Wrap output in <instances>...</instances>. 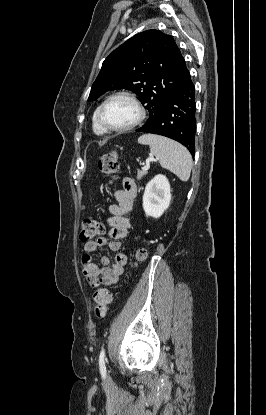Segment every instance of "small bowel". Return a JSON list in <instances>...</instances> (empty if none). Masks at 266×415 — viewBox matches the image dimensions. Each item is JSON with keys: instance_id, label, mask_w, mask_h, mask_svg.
Here are the masks:
<instances>
[{"instance_id": "obj_1", "label": "small bowel", "mask_w": 266, "mask_h": 415, "mask_svg": "<svg viewBox=\"0 0 266 415\" xmlns=\"http://www.w3.org/2000/svg\"><path fill=\"white\" fill-rule=\"evenodd\" d=\"M123 188L115 193L117 203L110 205L111 216L108 219L110 225L109 236L111 240L100 237L84 243V255L81 258L82 273L88 284L92 287L108 286L118 282L124 273L127 264V256L123 252H118L121 247V240L126 238L132 227L131 221L125 215L134 210L137 200V186L130 178L123 179ZM108 246L114 252L113 264L107 256L100 258V265L96 264L91 253L97 249Z\"/></svg>"}]
</instances>
